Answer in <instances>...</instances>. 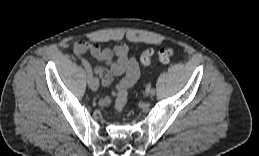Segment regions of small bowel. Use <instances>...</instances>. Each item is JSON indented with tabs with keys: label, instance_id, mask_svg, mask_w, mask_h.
I'll use <instances>...</instances> for the list:
<instances>
[{
	"label": "small bowel",
	"instance_id": "c3829d8e",
	"mask_svg": "<svg viewBox=\"0 0 259 156\" xmlns=\"http://www.w3.org/2000/svg\"><path fill=\"white\" fill-rule=\"evenodd\" d=\"M73 52L77 57L89 54L93 58L105 63V67H98L95 73L100 77L104 86L109 85L115 76L125 73V77L117 85L119 87L129 88L137 81L139 77V67L136 59L129 56V49L126 44H118L113 48H102L97 43L87 41H77L73 46ZM117 58L114 60V58ZM114 92V95L116 93ZM111 102L109 97L99 98L101 106H107Z\"/></svg>",
	"mask_w": 259,
	"mask_h": 156
}]
</instances>
